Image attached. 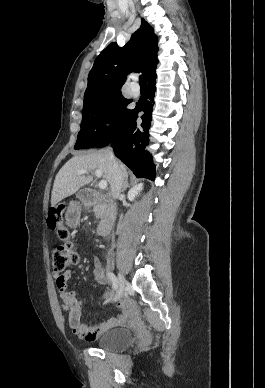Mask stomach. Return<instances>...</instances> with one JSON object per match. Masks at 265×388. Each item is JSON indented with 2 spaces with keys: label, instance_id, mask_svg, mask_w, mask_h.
<instances>
[{
  "label": "stomach",
  "instance_id": "stomach-1",
  "mask_svg": "<svg viewBox=\"0 0 265 388\" xmlns=\"http://www.w3.org/2000/svg\"><path fill=\"white\" fill-rule=\"evenodd\" d=\"M79 205L77 202H71L68 211L66 213V219L70 224H74L78 221L79 219Z\"/></svg>",
  "mask_w": 265,
  "mask_h": 388
}]
</instances>
